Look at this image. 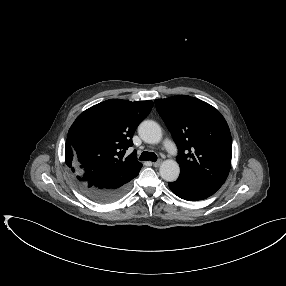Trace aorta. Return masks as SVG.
<instances>
[{"label":"aorta","mask_w":286,"mask_h":286,"mask_svg":"<svg viewBox=\"0 0 286 286\" xmlns=\"http://www.w3.org/2000/svg\"><path fill=\"white\" fill-rule=\"evenodd\" d=\"M139 136L149 144H157L162 139V130L158 123L152 120L143 121L138 127ZM160 176L168 182L177 180L180 174L179 164L174 160H165L160 165Z\"/></svg>","instance_id":"762f6f07"}]
</instances>
